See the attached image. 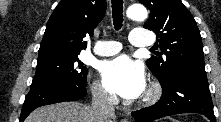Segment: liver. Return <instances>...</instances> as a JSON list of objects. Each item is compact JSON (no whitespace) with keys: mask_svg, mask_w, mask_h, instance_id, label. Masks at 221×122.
I'll return each instance as SVG.
<instances>
[{"mask_svg":"<svg viewBox=\"0 0 221 122\" xmlns=\"http://www.w3.org/2000/svg\"><path fill=\"white\" fill-rule=\"evenodd\" d=\"M25 122H95V116L91 106L60 102L37 108Z\"/></svg>","mask_w":221,"mask_h":122,"instance_id":"liver-1","label":"liver"}]
</instances>
